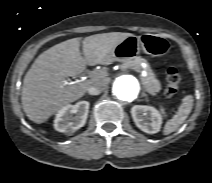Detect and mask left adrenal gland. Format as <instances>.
<instances>
[{
  "label": "left adrenal gland",
  "mask_w": 212,
  "mask_h": 183,
  "mask_svg": "<svg viewBox=\"0 0 212 183\" xmlns=\"http://www.w3.org/2000/svg\"><path fill=\"white\" fill-rule=\"evenodd\" d=\"M142 96H145L146 97V94L143 93Z\"/></svg>",
  "instance_id": "obj_1"
}]
</instances>
